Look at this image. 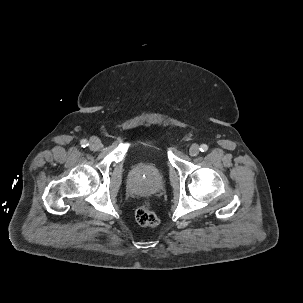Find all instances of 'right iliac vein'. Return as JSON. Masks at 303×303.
<instances>
[{
	"instance_id": "1",
	"label": "right iliac vein",
	"mask_w": 303,
	"mask_h": 303,
	"mask_svg": "<svg viewBox=\"0 0 303 303\" xmlns=\"http://www.w3.org/2000/svg\"><path fill=\"white\" fill-rule=\"evenodd\" d=\"M101 147V141L97 137H93L90 139L89 148L93 151L99 150Z\"/></svg>"
}]
</instances>
